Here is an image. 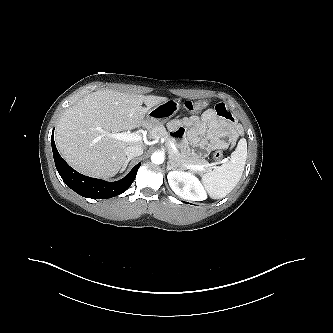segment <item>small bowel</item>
Returning <instances> with one entry per match:
<instances>
[{
	"mask_svg": "<svg viewBox=\"0 0 333 333\" xmlns=\"http://www.w3.org/2000/svg\"><path fill=\"white\" fill-rule=\"evenodd\" d=\"M169 128L175 137L182 139L185 149L196 156H206L215 149L231 148L242 133L225 103L205 110L201 116L172 120Z\"/></svg>",
	"mask_w": 333,
	"mask_h": 333,
	"instance_id": "obj_1",
	"label": "small bowel"
}]
</instances>
